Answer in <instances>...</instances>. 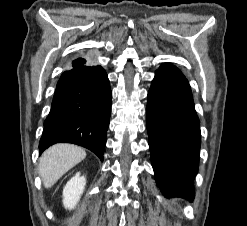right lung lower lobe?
Wrapping results in <instances>:
<instances>
[{
  "label": "right lung lower lobe",
  "instance_id": "right-lung-lower-lobe-1",
  "mask_svg": "<svg viewBox=\"0 0 247 226\" xmlns=\"http://www.w3.org/2000/svg\"><path fill=\"white\" fill-rule=\"evenodd\" d=\"M111 96L105 70L83 58L74 59L57 84L40 153L55 143L68 142L91 150L103 161Z\"/></svg>",
  "mask_w": 247,
  "mask_h": 226
}]
</instances>
